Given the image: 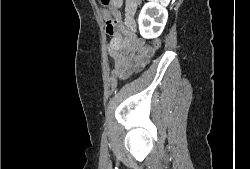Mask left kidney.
Segmentation results:
<instances>
[{
	"label": "left kidney",
	"instance_id": "left-kidney-1",
	"mask_svg": "<svg viewBox=\"0 0 250 169\" xmlns=\"http://www.w3.org/2000/svg\"><path fill=\"white\" fill-rule=\"evenodd\" d=\"M168 18V10L157 0L146 2L138 16V24L141 36L144 38H156L161 34Z\"/></svg>",
	"mask_w": 250,
	"mask_h": 169
}]
</instances>
